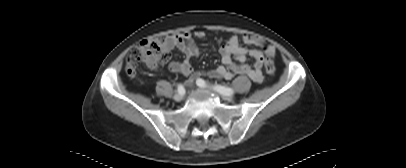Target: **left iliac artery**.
I'll return each instance as SVG.
<instances>
[{
  "label": "left iliac artery",
  "mask_w": 406,
  "mask_h": 168,
  "mask_svg": "<svg viewBox=\"0 0 406 168\" xmlns=\"http://www.w3.org/2000/svg\"><path fill=\"white\" fill-rule=\"evenodd\" d=\"M196 84L199 87H212L213 90L217 91L218 93H220L222 95H232L233 94V90L229 87H225V86L218 85V84L210 85V84H207L203 79H200V78L196 80Z\"/></svg>",
  "instance_id": "44dca946"
}]
</instances>
